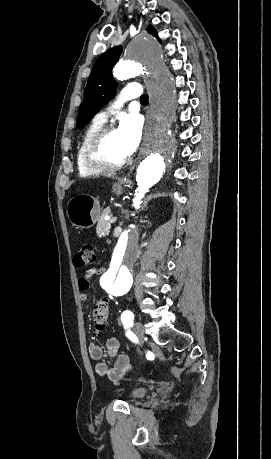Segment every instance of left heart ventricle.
Returning a JSON list of instances; mask_svg holds the SVG:
<instances>
[{"instance_id": "b2bd125f", "label": "left heart ventricle", "mask_w": 271, "mask_h": 459, "mask_svg": "<svg viewBox=\"0 0 271 459\" xmlns=\"http://www.w3.org/2000/svg\"><path fill=\"white\" fill-rule=\"evenodd\" d=\"M106 147L110 155L113 157H122L129 154L126 145L118 132V129H116L109 137L106 143Z\"/></svg>"}]
</instances>
